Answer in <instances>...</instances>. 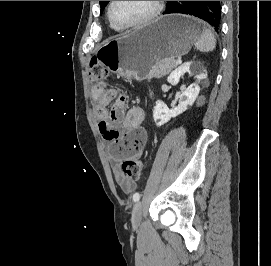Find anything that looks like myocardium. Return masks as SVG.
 <instances>
[{"mask_svg":"<svg viewBox=\"0 0 271 266\" xmlns=\"http://www.w3.org/2000/svg\"><path fill=\"white\" fill-rule=\"evenodd\" d=\"M114 3L115 1H110L107 8V16H108L110 24L119 30L135 29V28L142 27L148 23H151L161 14L163 10V1H154L152 11L145 18L132 24H120L116 22L112 16V7Z\"/></svg>","mask_w":271,"mask_h":266,"instance_id":"obj_1","label":"myocardium"}]
</instances>
